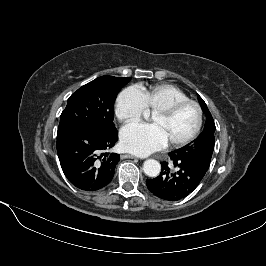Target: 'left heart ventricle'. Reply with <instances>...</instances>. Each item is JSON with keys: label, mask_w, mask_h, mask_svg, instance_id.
Here are the masks:
<instances>
[{"label": "left heart ventricle", "mask_w": 266, "mask_h": 266, "mask_svg": "<svg viewBox=\"0 0 266 266\" xmlns=\"http://www.w3.org/2000/svg\"><path fill=\"white\" fill-rule=\"evenodd\" d=\"M152 122L161 129L168 142L177 141L193 131L197 112L193 106L188 105L168 117L153 115Z\"/></svg>", "instance_id": "b2bd125f"}]
</instances>
